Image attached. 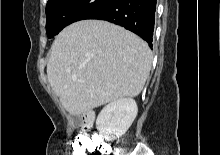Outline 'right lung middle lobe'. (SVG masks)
<instances>
[{
	"instance_id": "1",
	"label": "right lung middle lobe",
	"mask_w": 220,
	"mask_h": 155,
	"mask_svg": "<svg viewBox=\"0 0 220 155\" xmlns=\"http://www.w3.org/2000/svg\"><path fill=\"white\" fill-rule=\"evenodd\" d=\"M114 0H52L46 5L48 38L57 35L67 25L85 19Z\"/></svg>"
}]
</instances>
